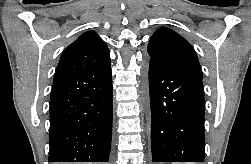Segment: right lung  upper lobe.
I'll use <instances>...</instances> for the list:
<instances>
[{"label": "right lung upper lobe", "mask_w": 251, "mask_h": 164, "mask_svg": "<svg viewBox=\"0 0 251 164\" xmlns=\"http://www.w3.org/2000/svg\"><path fill=\"white\" fill-rule=\"evenodd\" d=\"M110 64L106 43L94 32L82 34L62 53L54 82L101 69Z\"/></svg>", "instance_id": "cb5924a9"}]
</instances>
